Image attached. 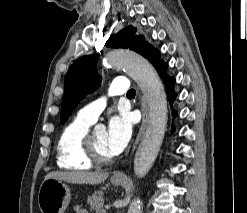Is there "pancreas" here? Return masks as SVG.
Returning a JSON list of instances; mask_svg holds the SVG:
<instances>
[{"label":"pancreas","instance_id":"pancreas-1","mask_svg":"<svg viewBox=\"0 0 247 213\" xmlns=\"http://www.w3.org/2000/svg\"><path fill=\"white\" fill-rule=\"evenodd\" d=\"M87 203L89 204V210L96 213H102L103 210V192H95L91 196H88Z\"/></svg>","mask_w":247,"mask_h":213}]
</instances>
